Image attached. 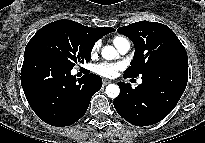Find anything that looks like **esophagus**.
<instances>
[{
	"mask_svg": "<svg viewBox=\"0 0 205 143\" xmlns=\"http://www.w3.org/2000/svg\"><path fill=\"white\" fill-rule=\"evenodd\" d=\"M109 83H111L110 80L103 79V85H104V86L108 85Z\"/></svg>",
	"mask_w": 205,
	"mask_h": 143,
	"instance_id": "esophagus-1",
	"label": "esophagus"
}]
</instances>
